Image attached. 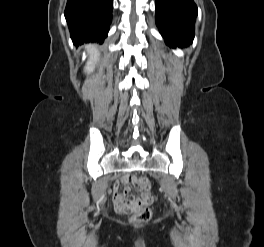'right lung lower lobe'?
Listing matches in <instances>:
<instances>
[{"instance_id": "obj_1", "label": "right lung lower lobe", "mask_w": 264, "mask_h": 247, "mask_svg": "<svg viewBox=\"0 0 264 247\" xmlns=\"http://www.w3.org/2000/svg\"><path fill=\"white\" fill-rule=\"evenodd\" d=\"M113 0H67L65 18L73 42L103 43L112 20Z\"/></svg>"}]
</instances>
